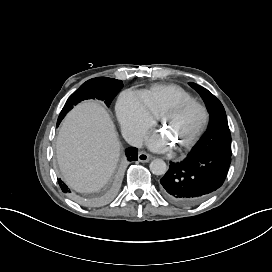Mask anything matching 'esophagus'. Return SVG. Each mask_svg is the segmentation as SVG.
<instances>
[{
  "instance_id": "esophagus-1",
  "label": "esophagus",
  "mask_w": 272,
  "mask_h": 272,
  "mask_svg": "<svg viewBox=\"0 0 272 272\" xmlns=\"http://www.w3.org/2000/svg\"><path fill=\"white\" fill-rule=\"evenodd\" d=\"M152 159V156L145 153V152H139L138 154V160L142 163H147Z\"/></svg>"
}]
</instances>
